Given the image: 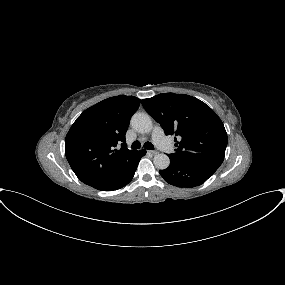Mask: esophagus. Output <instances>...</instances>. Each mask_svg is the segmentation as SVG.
Masks as SVG:
<instances>
[{"label":"esophagus","mask_w":285,"mask_h":285,"mask_svg":"<svg viewBox=\"0 0 285 285\" xmlns=\"http://www.w3.org/2000/svg\"><path fill=\"white\" fill-rule=\"evenodd\" d=\"M148 153L151 154V155H156L158 152L157 151H153V150H149Z\"/></svg>","instance_id":"obj_1"}]
</instances>
